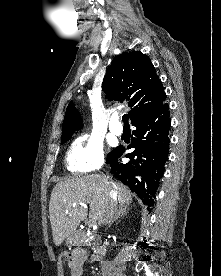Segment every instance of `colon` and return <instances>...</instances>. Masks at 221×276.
<instances>
[{"label":"colon","instance_id":"5ec220e1","mask_svg":"<svg viewBox=\"0 0 221 276\" xmlns=\"http://www.w3.org/2000/svg\"><path fill=\"white\" fill-rule=\"evenodd\" d=\"M59 259H60V261H62V262H69L70 259H71V255H70L69 252L63 251V252L60 253Z\"/></svg>","mask_w":221,"mask_h":276}]
</instances>
